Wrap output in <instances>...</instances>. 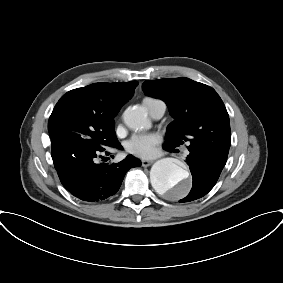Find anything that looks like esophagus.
I'll return each mask as SVG.
<instances>
[{
    "label": "esophagus",
    "instance_id": "obj_1",
    "mask_svg": "<svg viewBox=\"0 0 283 283\" xmlns=\"http://www.w3.org/2000/svg\"><path fill=\"white\" fill-rule=\"evenodd\" d=\"M153 163V161H148V160H142L141 164L143 167H148Z\"/></svg>",
    "mask_w": 283,
    "mask_h": 283
}]
</instances>
